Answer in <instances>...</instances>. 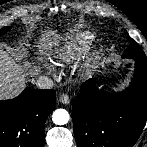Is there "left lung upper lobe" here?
<instances>
[{
  "mask_svg": "<svg viewBox=\"0 0 147 147\" xmlns=\"http://www.w3.org/2000/svg\"><path fill=\"white\" fill-rule=\"evenodd\" d=\"M123 58H129L134 59L137 62H141L143 64L147 65V58L145 56L144 51L139 46V44L131 39L130 45L125 50L124 55H122Z\"/></svg>",
  "mask_w": 147,
  "mask_h": 147,
  "instance_id": "left-lung-upper-lobe-1",
  "label": "left lung upper lobe"
}]
</instances>
